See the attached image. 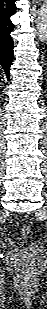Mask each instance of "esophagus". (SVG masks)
<instances>
[{
	"instance_id": "34e87169",
	"label": "esophagus",
	"mask_w": 47,
	"mask_h": 309,
	"mask_svg": "<svg viewBox=\"0 0 47 309\" xmlns=\"http://www.w3.org/2000/svg\"><path fill=\"white\" fill-rule=\"evenodd\" d=\"M37 5H40L41 0H34Z\"/></svg>"
}]
</instances>
